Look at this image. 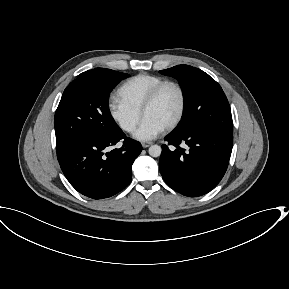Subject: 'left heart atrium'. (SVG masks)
Returning a JSON list of instances; mask_svg holds the SVG:
<instances>
[{
  "instance_id": "obj_1",
  "label": "left heart atrium",
  "mask_w": 289,
  "mask_h": 289,
  "mask_svg": "<svg viewBox=\"0 0 289 289\" xmlns=\"http://www.w3.org/2000/svg\"><path fill=\"white\" fill-rule=\"evenodd\" d=\"M164 129L165 127L158 122L144 117L134 137L140 141H149L156 138Z\"/></svg>"
}]
</instances>
